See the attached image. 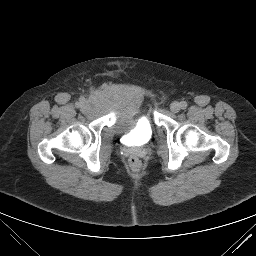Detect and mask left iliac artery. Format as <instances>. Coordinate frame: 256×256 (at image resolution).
<instances>
[{
    "instance_id": "obj_1",
    "label": "left iliac artery",
    "mask_w": 256,
    "mask_h": 256,
    "mask_svg": "<svg viewBox=\"0 0 256 256\" xmlns=\"http://www.w3.org/2000/svg\"><path fill=\"white\" fill-rule=\"evenodd\" d=\"M180 105H181V108H182V109H186V108H187V103H186L185 101H182V102L180 103Z\"/></svg>"
}]
</instances>
